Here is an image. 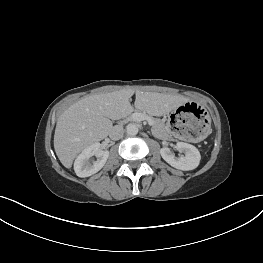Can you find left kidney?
Wrapping results in <instances>:
<instances>
[{"label":"left kidney","instance_id":"left-kidney-1","mask_svg":"<svg viewBox=\"0 0 263 263\" xmlns=\"http://www.w3.org/2000/svg\"><path fill=\"white\" fill-rule=\"evenodd\" d=\"M176 148L184 151L185 156L176 157L168 147L160 150L162 158L168 164L183 171L193 170L198 167L201 155L195 146L184 142H177Z\"/></svg>","mask_w":263,"mask_h":263}]
</instances>
